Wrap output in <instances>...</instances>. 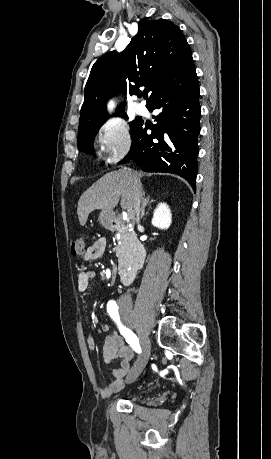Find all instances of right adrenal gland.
Listing matches in <instances>:
<instances>
[{
    "label": "right adrenal gland",
    "instance_id": "right-adrenal-gland-1",
    "mask_svg": "<svg viewBox=\"0 0 271 459\" xmlns=\"http://www.w3.org/2000/svg\"><path fill=\"white\" fill-rule=\"evenodd\" d=\"M149 200H150V196H147V198H146L145 194H142V196H141L142 208H141V216H140V218H144V216H145V208H146L147 204H151V202H149Z\"/></svg>",
    "mask_w": 271,
    "mask_h": 459
}]
</instances>
